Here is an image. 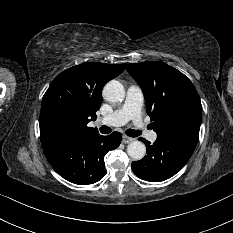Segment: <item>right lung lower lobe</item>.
I'll use <instances>...</instances> for the list:
<instances>
[{"mask_svg":"<svg viewBox=\"0 0 233 233\" xmlns=\"http://www.w3.org/2000/svg\"><path fill=\"white\" fill-rule=\"evenodd\" d=\"M121 139L119 132L109 136L97 132L44 146L43 151L59 175L72 183L88 185L105 176L104 156L116 149Z\"/></svg>","mask_w":233,"mask_h":233,"instance_id":"98d812e1","label":"right lung lower lobe"}]
</instances>
